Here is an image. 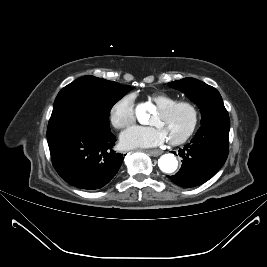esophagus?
Returning a JSON list of instances; mask_svg holds the SVG:
<instances>
[{
    "instance_id": "obj_1",
    "label": "esophagus",
    "mask_w": 267,
    "mask_h": 267,
    "mask_svg": "<svg viewBox=\"0 0 267 267\" xmlns=\"http://www.w3.org/2000/svg\"><path fill=\"white\" fill-rule=\"evenodd\" d=\"M150 155L152 156H159L163 153V151L159 150V149H155V150H148L147 151Z\"/></svg>"
}]
</instances>
